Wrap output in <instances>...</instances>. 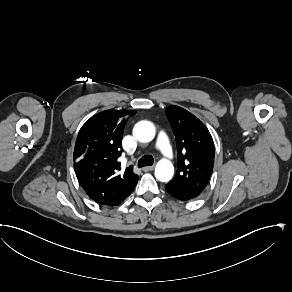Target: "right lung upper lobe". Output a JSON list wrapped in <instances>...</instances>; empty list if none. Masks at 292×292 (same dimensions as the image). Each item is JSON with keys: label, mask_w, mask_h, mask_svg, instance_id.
I'll use <instances>...</instances> for the list:
<instances>
[{"label": "right lung upper lobe", "mask_w": 292, "mask_h": 292, "mask_svg": "<svg viewBox=\"0 0 292 292\" xmlns=\"http://www.w3.org/2000/svg\"><path fill=\"white\" fill-rule=\"evenodd\" d=\"M134 111L106 110L95 114L81 127L73 160L77 179L87 195L101 205L112 206L136 186L132 166L121 170L125 116Z\"/></svg>", "instance_id": "obj_1"}]
</instances>
